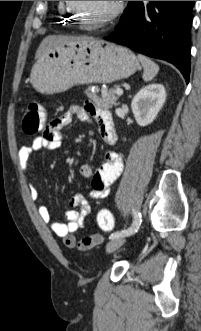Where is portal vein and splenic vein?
<instances>
[{
	"label": "portal vein and splenic vein",
	"instance_id": "obj_1",
	"mask_svg": "<svg viewBox=\"0 0 201 331\" xmlns=\"http://www.w3.org/2000/svg\"><path fill=\"white\" fill-rule=\"evenodd\" d=\"M115 94L122 95L123 94V90L120 89V88H117L116 91H115Z\"/></svg>",
	"mask_w": 201,
	"mask_h": 331
}]
</instances>
